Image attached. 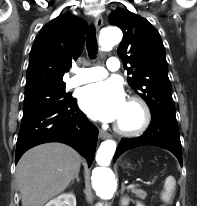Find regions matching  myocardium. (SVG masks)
<instances>
[{"label": "myocardium", "mask_w": 197, "mask_h": 206, "mask_svg": "<svg viewBox=\"0 0 197 206\" xmlns=\"http://www.w3.org/2000/svg\"><path fill=\"white\" fill-rule=\"evenodd\" d=\"M128 104L135 106L139 111V122L132 126H124L120 122L116 123L115 130L121 135L137 136L142 134L150 125L151 111L147 102L139 96H131L128 99Z\"/></svg>", "instance_id": "myocardium-1"}]
</instances>
